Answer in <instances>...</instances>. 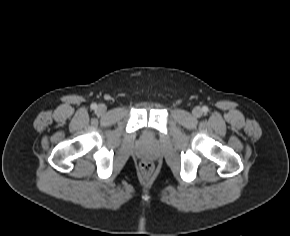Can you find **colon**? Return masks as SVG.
<instances>
[{"label":"colon","mask_w":290,"mask_h":236,"mask_svg":"<svg viewBox=\"0 0 290 236\" xmlns=\"http://www.w3.org/2000/svg\"><path fill=\"white\" fill-rule=\"evenodd\" d=\"M140 170L143 174H150L153 171V164L148 161H144L140 164Z\"/></svg>","instance_id":"obj_1"}]
</instances>
